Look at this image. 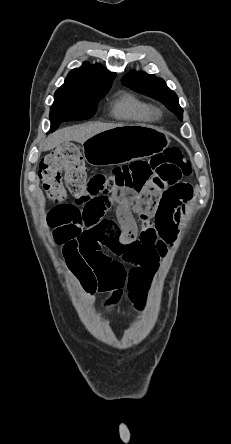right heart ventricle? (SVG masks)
I'll use <instances>...</instances> for the list:
<instances>
[{
  "mask_svg": "<svg viewBox=\"0 0 231 444\" xmlns=\"http://www.w3.org/2000/svg\"><path fill=\"white\" fill-rule=\"evenodd\" d=\"M112 113L118 119L143 122L153 121L158 115L152 104L131 93L122 94L114 102Z\"/></svg>",
  "mask_w": 231,
  "mask_h": 444,
  "instance_id": "obj_1",
  "label": "right heart ventricle"
}]
</instances>
